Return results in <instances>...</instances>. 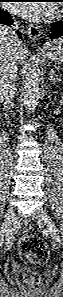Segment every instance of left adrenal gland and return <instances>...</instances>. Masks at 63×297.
<instances>
[{
	"instance_id": "a2214340",
	"label": "left adrenal gland",
	"mask_w": 63,
	"mask_h": 297,
	"mask_svg": "<svg viewBox=\"0 0 63 297\" xmlns=\"http://www.w3.org/2000/svg\"><path fill=\"white\" fill-rule=\"evenodd\" d=\"M50 81L52 83H56V82H61L62 81L61 76H59L58 74H56V71L53 70V69L50 71Z\"/></svg>"
}]
</instances>
